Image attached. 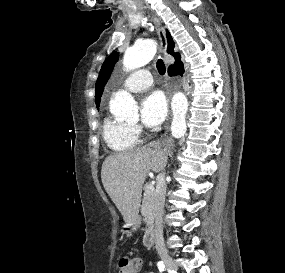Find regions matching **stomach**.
I'll list each match as a JSON object with an SVG mask.
<instances>
[{
	"mask_svg": "<svg viewBox=\"0 0 285 273\" xmlns=\"http://www.w3.org/2000/svg\"><path fill=\"white\" fill-rule=\"evenodd\" d=\"M139 225V218L136 219L134 222L132 223H126V225L124 226L125 230H134L138 227Z\"/></svg>",
	"mask_w": 285,
	"mask_h": 273,
	"instance_id": "stomach-1",
	"label": "stomach"
}]
</instances>
